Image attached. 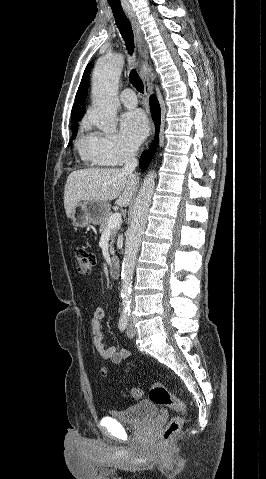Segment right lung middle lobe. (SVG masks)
Returning a JSON list of instances; mask_svg holds the SVG:
<instances>
[{"mask_svg":"<svg viewBox=\"0 0 266 479\" xmlns=\"http://www.w3.org/2000/svg\"><path fill=\"white\" fill-rule=\"evenodd\" d=\"M78 121H72V133H73V137L76 136L77 134V128H78Z\"/></svg>","mask_w":266,"mask_h":479,"instance_id":"right-lung-middle-lobe-1","label":"right lung middle lobe"}]
</instances>
